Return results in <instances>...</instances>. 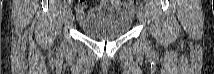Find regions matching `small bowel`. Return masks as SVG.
Here are the masks:
<instances>
[{"label": "small bowel", "instance_id": "small-bowel-1", "mask_svg": "<svg viewBox=\"0 0 214 74\" xmlns=\"http://www.w3.org/2000/svg\"><path fill=\"white\" fill-rule=\"evenodd\" d=\"M121 6L122 2L121 1H102L98 6L99 8H103V7H108V6ZM125 8H127L128 10L132 11V7L129 5H122ZM88 9V5L85 2H81L79 3L76 8H75V12H76V18L77 20L81 23L83 21V19L85 18V11Z\"/></svg>", "mask_w": 214, "mask_h": 74}]
</instances>
